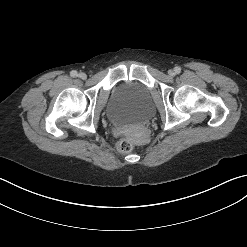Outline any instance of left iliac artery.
I'll return each instance as SVG.
<instances>
[{"label": "left iliac artery", "mask_w": 247, "mask_h": 247, "mask_svg": "<svg viewBox=\"0 0 247 247\" xmlns=\"http://www.w3.org/2000/svg\"><path fill=\"white\" fill-rule=\"evenodd\" d=\"M174 71H175L176 73H180V72H181V68H180V67H175V68H174Z\"/></svg>", "instance_id": "44dca946"}]
</instances>
